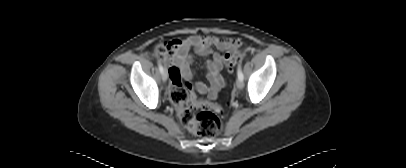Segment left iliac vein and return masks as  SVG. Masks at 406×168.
<instances>
[{
	"instance_id": "obj_1",
	"label": "left iliac vein",
	"mask_w": 406,
	"mask_h": 168,
	"mask_svg": "<svg viewBox=\"0 0 406 168\" xmlns=\"http://www.w3.org/2000/svg\"><path fill=\"white\" fill-rule=\"evenodd\" d=\"M236 86H237L238 89H243V87H244V82H243V80L238 79V80L236 81Z\"/></svg>"
}]
</instances>
